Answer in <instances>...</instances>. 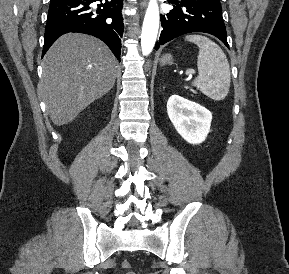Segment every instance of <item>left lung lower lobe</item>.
Wrapping results in <instances>:
<instances>
[{"instance_id":"1","label":"left lung lower lobe","mask_w":289,"mask_h":274,"mask_svg":"<svg viewBox=\"0 0 289 274\" xmlns=\"http://www.w3.org/2000/svg\"><path fill=\"white\" fill-rule=\"evenodd\" d=\"M175 4L169 13L161 14L163 30L155 49L172 39L191 32L216 36L228 48L220 0H168Z\"/></svg>"}]
</instances>
